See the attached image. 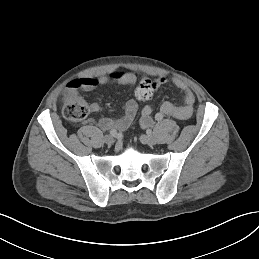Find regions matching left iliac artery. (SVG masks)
Returning <instances> with one entry per match:
<instances>
[{
	"mask_svg": "<svg viewBox=\"0 0 259 259\" xmlns=\"http://www.w3.org/2000/svg\"><path fill=\"white\" fill-rule=\"evenodd\" d=\"M164 118L163 113L159 112L155 115V120L161 121Z\"/></svg>",
	"mask_w": 259,
	"mask_h": 259,
	"instance_id": "obj_1",
	"label": "left iliac artery"
}]
</instances>
